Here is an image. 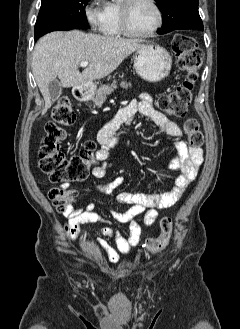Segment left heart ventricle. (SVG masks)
Wrapping results in <instances>:
<instances>
[{
	"instance_id": "left-heart-ventricle-1",
	"label": "left heart ventricle",
	"mask_w": 240,
	"mask_h": 329,
	"mask_svg": "<svg viewBox=\"0 0 240 329\" xmlns=\"http://www.w3.org/2000/svg\"><path fill=\"white\" fill-rule=\"evenodd\" d=\"M157 22V14L148 0H137L130 13V27L136 32L149 31Z\"/></svg>"
}]
</instances>
